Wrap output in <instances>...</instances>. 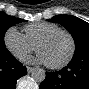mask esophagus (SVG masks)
I'll use <instances>...</instances> for the list:
<instances>
[{"label": "esophagus", "instance_id": "1", "mask_svg": "<svg viewBox=\"0 0 89 89\" xmlns=\"http://www.w3.org/2000/svg\"><path fill=\"white\" fill-rule=\"evenodd\" d=\"M34 70H35L34 67H30V66L27 67L28 73H31V72H33Z\"/></svg>", "mask_w": 89, "mask_h": 89}]
</instances>
